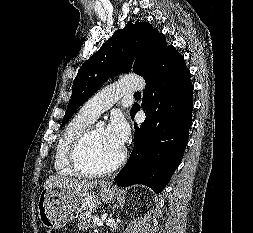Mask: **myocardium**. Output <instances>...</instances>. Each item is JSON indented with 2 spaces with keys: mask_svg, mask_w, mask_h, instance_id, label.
Returning a JSON list of instances; mask_svg holds the SVG:
<instances>
[{
  "mask_svg": "<svg viewBox=\"0 0 253 233\" xmlns=\"http://www.w3.org/2000/svg\"><path fill=\"white\" fill-rule=\"evenodd\" d=\"M94 131V126H89L74 142L70 156L69 163L73 170L82 176L97 177L109 174L119 168L126 158L125 150H121L119 156L109 165L99 168L92 169L85 165L83 160L84 152L89 144Z\"/></svg>",
  "mask_w": 253,
  "mask_h": 233,
  "instance_id": "f54148a6",
  "label": "myocardium"
}]
</instances>
